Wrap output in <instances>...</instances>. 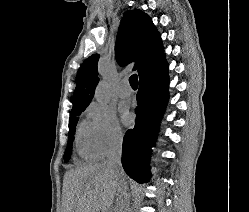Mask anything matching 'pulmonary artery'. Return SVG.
Masks as SVG:
<instances>
[{"mask_svg": "<svg viewBox=\"0 0 249 212\" xmlns=\"http://www.w3.org/2000/svg\"><path fill=\"white\" fill-rule=\"evenodd\" d=\"M118 96L122 99H126L131 95V87L127 78H124L118 87Z\"/></svg>", "mask_w": 249, "mask_h": 212, "instance_id": "e3ab8cb5", "label": "pulmonary artery"}]
</instances>
